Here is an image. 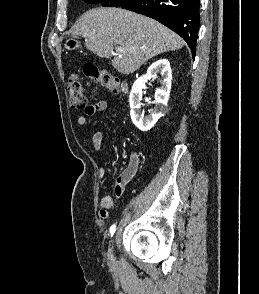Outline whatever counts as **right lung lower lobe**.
<instances>
[{
  "label": "right lung lower lobe",
  "instance_id": "1",
  "mask_svg": "<svg viewBox=\"0 0 259 294\" xmlns=\"http://www.w3.org/2000/svg\"><path fill=\"white\" fill-rule=\"evenodd\" d=\"M121 7L153 18L179 34L194 58L200 24V0H129Z\"/></svg>",
  "mask_w": 259,
  "mask_h": 294
}]
</instances>
